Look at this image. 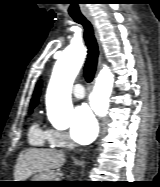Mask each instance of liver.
Segmentation results:
<instances>
[{
    "label": "liver",
    "instance_id": "liver-1",
    "mask_svg": "<svg viewBox=\"0 0 160 187\" xmlns=\"http://www.w3.org/2000/svg\"><path fill=\"white\" fill-rule=\"evenodd\" d=\"M65 163V155L57 150L27 149L20 153L14 171L15 181H25L33 174L52 172Z\"/></svg>",
    "mask_w": 160,
    "mask_h": 187
}]
</instances>
